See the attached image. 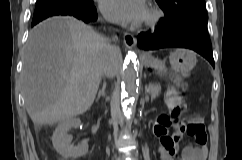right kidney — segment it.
<instances>
[{
  "label": "right kidney",
  "mask_w": 242,
  "mask_h": 160,
  "mask_svg": "<svg viewBox=\"0 0 242 160\" xmlns=\"http://www.w3.org/2000/svg\"><path fill=\"white\" fill-rule=\"evenodd\" d=\"M81 121L78 118H71L60 122L58 127L53 133L52 143L55 150L65 159L67 158H79L88 152V143L86 141L78 144L77 146H71L72 136L68 135L70 128H77Z\"/></svg>",
  "instance_id": "obj_1"
}]
</instances>
